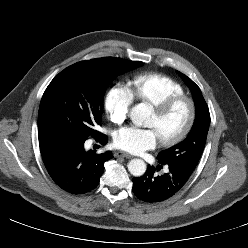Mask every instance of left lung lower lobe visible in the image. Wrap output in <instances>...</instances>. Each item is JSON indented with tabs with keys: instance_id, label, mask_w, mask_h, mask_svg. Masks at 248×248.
Segmentation results:
<instances>
[{
	"instance_id": "left-lung-lower-lobe-1",
	"label": "left lung lower lobe",
	"mask_w": 248,
	"mask_h": 248,
	"mask_svg": "<svg viewBox=\"0 0 248 248\" xmlns=\"http://www.w3.org/2000/svg\"><path fill=\"white\" fill-rule=\"evenodd\" d=\"M166 166L169 171L163 175H155V168L149 166L143 176L132 179V191L138 199L147 203L163 202L184 187L192 171L172 164Z\"/></svg>"
}]
</instances>
